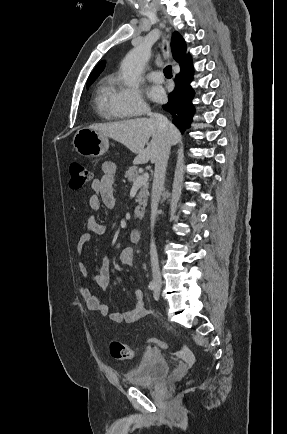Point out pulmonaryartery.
<instances>
[{"instance_id":"1","label":"pulmonary artery","mask_w":287,"mask_h":434,"mask_svg":"<svg viewBox=\"0 0 287 434\" xmlns=\"http://www.w3.org/2000/svg\"><path fill=\"white\" fill-rule=\"evenodd\" d=\"M148 78L153 82H163L164 77L160 71H151L148 74Z\"/></svg>"}]
</instances>
